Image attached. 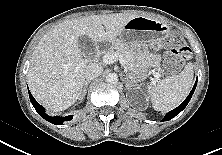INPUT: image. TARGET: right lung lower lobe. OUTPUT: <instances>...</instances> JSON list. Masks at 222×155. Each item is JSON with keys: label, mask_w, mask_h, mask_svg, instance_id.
I'll return each mask as SVG.
<instances>
[{"label": "right lung lower lobe", "mask_w": 222, "mask_h": 155, "mask_svg": "<svg viewBox=\"0 0 222 155\" xmlns=\"http://www.w3.org/2000/svg\"><path fill=\"white\" fill-rule=\"evenodd\" d=\"M29 97H30V101L31 103L33 104L35 110L47 121H49L50 123L52 124H55V125H61L63 124V122L65 121H69L72 119V115L70 116H67V117H59V116H54V117H51L49 115H47L45 113V110L44 108L33 98L32 94L29 92Z\"/></svg>", "instance_id": "right-lung-lower-lobe-1"}]
</instances>
